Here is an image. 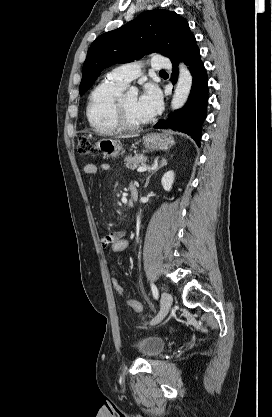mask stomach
<instances>
[{
    "instance_id": "obj_1",
    "label": "stomach",
    "mask_w": 272,
    "mask_h": 417,
    "mask_svg": "<svg viewBox=\"0 0 272 417\" xmlns=\"http://www.w3.org/2000/svg\"><path fill=\"white\" fill-rule=\"evenodd\" d=\"M144 145L148 150L168 149L175 142L168 134L151 133L143 137ZM105 157L116 158L120 155L122 145L114 139H101L97 143Z\"/></svg>"
}]
</instances>
